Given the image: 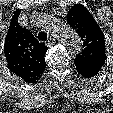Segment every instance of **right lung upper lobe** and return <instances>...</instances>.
Wrapping results in <instances>:
<instances>
[{
  "label": "right lung upper lobe",
  "mask_w": 113,
  "mask_h": 113,
  "mask_svg": "<svg viewBox=\"0 0 113 113\" xmlns=\"http://www.w3.org/2000/svg\"><path fill=\"white\" fill-rule=\"evenodd\" d=\"M20 10L14 13L5 38L4 53L11 72L27 83H36L46 68L47 46L18 24Z\"/></svg>",
  "instance_id": "1"
}]
</instances>
